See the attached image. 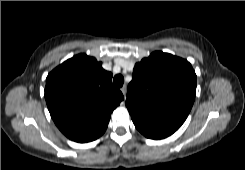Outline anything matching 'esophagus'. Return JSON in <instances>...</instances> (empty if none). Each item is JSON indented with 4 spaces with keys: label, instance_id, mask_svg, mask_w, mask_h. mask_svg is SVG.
Wrapping results in <instances>:
<instances>
[{
    "label": "esophagus",
    "instance_id": "obj_1",
    "mask_svg": "<svg viewBox=\"0 0 245 170\" xmlns=\"http://www.w3.org/2000/svg\"><path fill=\"white\" fill-rule=\"evenodd\" d=\"M121 92H122V94L125 96V94H126V86L124 85L123 87H121Z\"/></svg>",
    "mask_w": 245,
    "mask_h": 170
}]
</instances>
